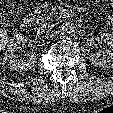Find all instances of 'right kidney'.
<instances>
[{
	"mask_svg": "<svg viewBox=\"0 0 113 113\" xmlns=\"http://www.w3.org/2000/svg\"><path fill=\"white\" fill-rule=\"evenodd\" d=\"M23 41H26V38L22 34L14 36L4 56V64L15 71L30 70L37 60L34 54H25L24 59L20 58L21 54L18 52V44Z\"/></svg>",
	"mask_w": 113,
	"mask_h": 113,
	"instance_id": "1",
	"label": "right kidney"
}]
</instances>
